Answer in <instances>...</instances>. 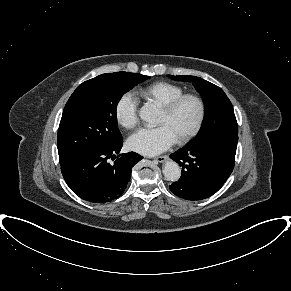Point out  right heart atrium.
<instances>
[{"label":"right heart atrium","instance_id":"obj_1","mask_svg":"<svg viewBox=\"0 0 291 291\" xmlns=\"http://www.w3.org/2000/svg\"><path fill=\"white\" fill-rule=\"evenodd\" d=\"M139 103L132 92H125L120 96L115 105V117L118 124L130 130L137 126Z\"/></svg>","mask_w":291,"mask_h":291}]
</instances>
